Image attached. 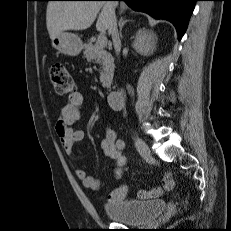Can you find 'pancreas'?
Wrapping results in <instances>:
<instances>
[{"instance_id": "1", "label": "pancreas", "mask_w": 231, "mask_h": 231, "mask_svg": "<svg viewBox=\"0 0 231 231\" xmlns=\"http://www.w3.org/2000/svg\"><path fill=\"white\" fill-rule=\"evenodd\" d=\"M84 56L88 62L95 61L101 65L100 81L104 88H110L114 74V60L112 56L97 43L95 45L90 41L84 44Z\"/></svg>"}]
</instances>
